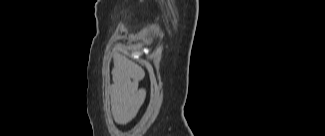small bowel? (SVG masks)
I'll use <instances>...</instances> for the list:
<instances>
[{
    "instance_id": "obj_1",
    "label": "small bowel",
    "mask_w": 325,
    "mask_h": 136,
    "mask_svg": "<svg viewBox=\"0 0 325 136\" xmlns=\"http://www.w3.org/2000/svg\"><path fill=\"white\" fill-rule=\"evenodd\" d=\"M142 74L122 57L115 60L111 105L115 121L126 124L143 104L146 90L139 87Z\"/></svg>"
}]
</instances>
